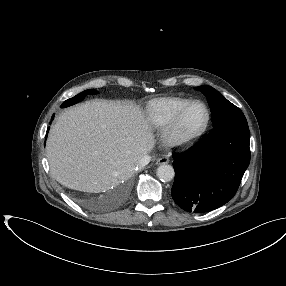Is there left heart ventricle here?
I'll return each mask as SVG.
<instances>
[{
	"label": "left heart ventricle",
	"mask_w": 286,
	"mask_h": 286,
	"mask_svg": "<svg viewBox=\"0 0 286 286\" xmlns=\"http://www.w3.org/2000/svg\"><path fill=\"white\" fill-rule=\"evenodd\" d=\"M206 119V111L201 104L194 105L187 113L180 128L181 135L190 134L202 127Z\"/></svg>",
	"instance_id": "obj_1"
}]
</instances>
